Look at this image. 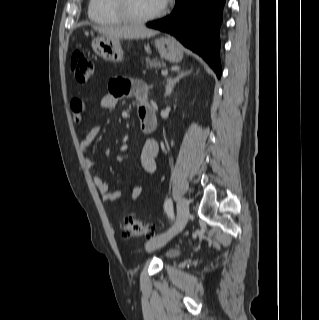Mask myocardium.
I'll list each match as a JSON object with an SVG mask.
<instances>
[{"label": "myocardium", "instance_id": "myocardium-1", "mask_svg": "<svg viewBox=\"0 0 319 320\" xmlns=\"http://www.w3.org/2000/svg\"><path fill=\"white\" fill-rule=\"evenodd\" d=\"M113 6L126 22L140 24L159 19L165 14V7L148 16H139L131 8V0H113Z\"/></svg>", "mask_w": 319, "mask_h": 320}]
</instances>
